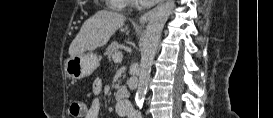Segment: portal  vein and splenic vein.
<instances>
[{"mask_svg":"<svg viewBox=\"0 0 273 118\" xmlns=\"http://www.w3.org/2000/svg\"><path fill=\"white\" fill-rule=\"evenodd\" d=\"M122 59H123V54H122L121 52H117V53H115V54L113 55V61H114L115 63L121 62Z\"/></svg>","mask_w":273,"mask_h":118,"instance_id":"18ae733b","label":"portal vein and splenic vein"}]
</instances>
